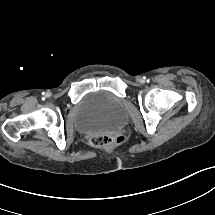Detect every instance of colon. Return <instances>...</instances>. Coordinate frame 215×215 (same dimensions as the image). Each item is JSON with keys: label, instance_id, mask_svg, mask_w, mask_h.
<instances>
[{"label": "colon", "instance_id": "5ec220e1", "mask_svg": "<svg viewBox=\"0 0 215 215\" xmlns=\"http://www.w3.org/2000/svg\"><path fill=\"white\" fill-rule=\"evenodd\" d=\"M118 140L119 137L116 135L97 136L93 138L92 144L96 147L104 148L112 146L113 144L117 143Z\"/></svg>", "mask_w": 215, "mask_h": 215}]
</instances>
